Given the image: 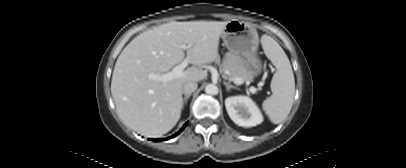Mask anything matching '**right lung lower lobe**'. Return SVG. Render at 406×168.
Masks as SVG:
<instances>
[{"instance_id": "1", "label": "right lung lower lobe", "mask_w": 406, "mask_h": 168, "mask_svg": "<svg viewBox=\"0 0 406 168\" xmlns=\"http://www.w3.org/2000/svg\"><path fill=\"white\" fill-rule=\"evenodd\" d=\"M186 125H187V123L180 129V131L179 132H177L176 134H174L173 136H171V137H169V138H166V139H164V140H167V139H170V138H173V137H175L176 135H178L185 127H186Z\"/></svg>"}]
</instances>
